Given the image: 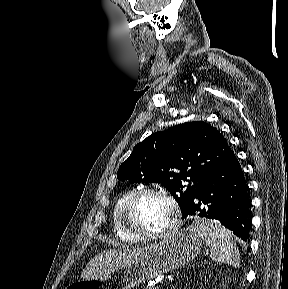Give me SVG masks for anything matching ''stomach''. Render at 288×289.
Listing matches in <instances>:
<instances>
[{"mask_svg": "<svg viewBox=\"0 0 288 289\" xmlns=\"http://www.w3.org/2000/svg\"><path fill=\"white\" fill-rule=\"evenodd\" d=\"M201 247L202 239L191 225L146 247L139 259L96 278L74 282L67 289H132L189 263Z\"/></svg>", "mask_w": 288, "mask_h": 289, "instance_id": "obj_1", "label": "stomach"}]
</instances>
